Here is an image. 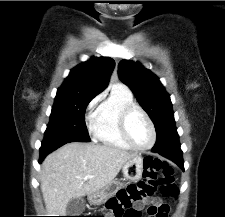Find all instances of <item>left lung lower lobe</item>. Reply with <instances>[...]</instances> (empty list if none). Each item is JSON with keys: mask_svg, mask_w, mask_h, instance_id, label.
<instances>
[{"mask_svg": "<svg viewBox=\"0 0 225 217\" xmlns=\"http://www.w3.org/2000/svg\"><path fill=\"white\" fill-rule=\"evenodd\" d=\"M152 151L162 155L163 157H166L172 160L184 170V166H183L184 162L182 158L183 152L180 149L179 143L174 144L172 146L165 147V148L157 149V150L152 149Z\"/></svg>", "mask_w": 225, "mask_h": 217, "instance_id": "left-lung-lower-lobe-1", "label": "left lung lower lobe"}]
</instances>
